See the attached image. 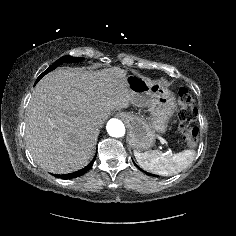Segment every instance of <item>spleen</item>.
Returning <instances> with one entry per match:
<instances>
[{"label":"spleen","instance_id":"3e777b00","mask_svg":"<svg viewBox=\"0 0 236 236\" xmlns=\"http://www.w3.org/2000/svg\"><path fill=\"white\" fill-rule=\"evenodd\" d=\"M134 156L141 168L162 176H171L185 169L195 157L194 150H184L182 152L171 154L158 150L146 151L140 153L134 151Z\"/></svg>","mask_w":236,"mask_h":236}]
</instances>
